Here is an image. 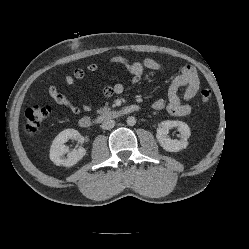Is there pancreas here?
Segmentation results:
<instances>
[{
	"instance_id": "cf45deb5",
	"label": "pancreas",
	"mask_w": 249,
	"mask_h": 249,
	"mask_svg": "<svg viewBox=\"0 0 249 249\" xmlns=\"http://www.w3.org/2000/svg\"><path fill=\"white\" fill-rule=\"evenodd\" d=\"M110 110H111L110 107L104 106V107H102V108L99 109V112L100 113H104V112H109Z\"/></svg>"
}]
</instances>
